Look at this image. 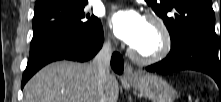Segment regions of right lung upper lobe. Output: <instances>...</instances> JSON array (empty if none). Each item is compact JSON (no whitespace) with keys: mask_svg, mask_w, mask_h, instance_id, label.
<instances>
[{"mask_svg":"<svg viewBox=\"0 0 221 102\" xmlns=\"http://www.w3.org/2000/svg\"><path fill=\"white\" fill-rule=\"evenodd\" d=\"M44 1H46V0H37V1H36V4L42 3V2H44Z\"/></svg>","mask_w":221,"mask_h":102,"instance_id":"obj_1","label":"right lung upper lobe"}]
</instances>
